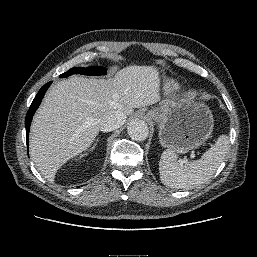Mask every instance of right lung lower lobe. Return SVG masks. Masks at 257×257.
<instances>
[{
  "instance_id": "obj_1",
  "label": "right lung lower lobe",
  "mask_w": 257,
  "mask_h": 257,
  "mask_svg": "<svg viewBox=\"0 0 257 257\" xmlns=\"http://www.w3.org/2000/svg\"><path fill=\"white\" fill-rule=\"evenodd\" d=\"M52 82H48L47 84H45L38 92V94L36 95V97L34 98L28 112L25 118V127H26V140L28 142V135H29V130H30V124L32 121V117L35 113V111L37 110V108L39 107L42 98L45 94V92L47 91L48 87L51 85Z\"/></svg>"
}]
</instances>
